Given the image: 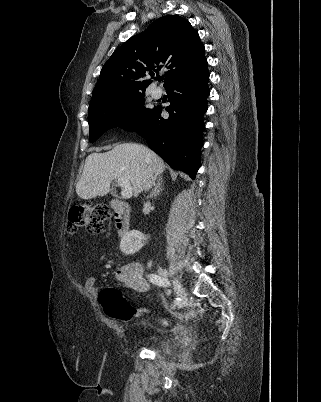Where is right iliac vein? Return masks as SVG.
<instances>
[{
    "mask_svg": "<svg viewBox=\"0 0 321 402\" xmlns=\"http://www.w3.org/2000/svg\"><path fill=\"white\" fill-rule=\"evenodd\" d=\"M159 273L161 275H164L163 270H159ZM174 289H175V293H176L177 297L180 299L178 306H179V308H181V307H183V305L185 303L186 292L178 280H174Z\"/></svg>",
    "mask_w": 321,
    "mask_h": 402,
    "instance_id": "63e3f726",
    "label": "right iliac vein"
}]
</instances>
